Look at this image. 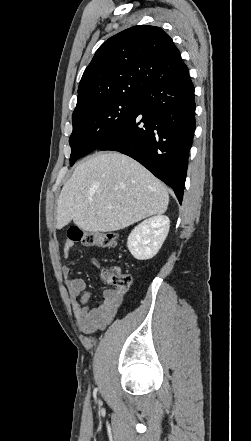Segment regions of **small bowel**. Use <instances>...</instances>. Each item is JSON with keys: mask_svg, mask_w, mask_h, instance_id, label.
<instances>
[{"mask_svg": "<svg viewBox=\"0 0 251 441\" xmlns=\"http://www.w3.org/2000/svg\"><path fill=\"white\" fill-rule=\"evenodd\" d=\"M74 242L67 240L63 245V255L68 257ZM90 262L97 268L100 263L95 257H90ZM66 277L72 273L68 265L62 268ZM69 293L74 301V315L79 329L84 333H93L105 328L116 316L126 290L106 289L103 292L102 300L97 306H90V294L87 291L86 282L79 277L68 280Z\"/></svg>", "mask_w": 251, "mask_h": 441, "instance_id": "obj_1", "label": "small bowel"}]
</instances>
